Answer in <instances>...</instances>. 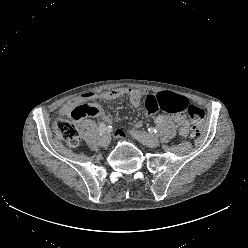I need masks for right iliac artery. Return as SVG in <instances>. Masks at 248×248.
I'll return each mask as SVG.
<instances>
[{
	"label": "right iliac artery",
	"instance_id": "right-iliac-artery-1",
	"mask_svg": "<svg viewBox=\"0 0 248 248\" xmlns=\"http://www.w3.org/2000/svg\"><path fill=\"white\" fill-rule=\"evenodd\" d=\"M98 130H99L100 135H102L106 132L107 127L104 123H100Z\"/></svg>",
	"mask_w": 248,
	"mask_h": 248
}]
</instances>
